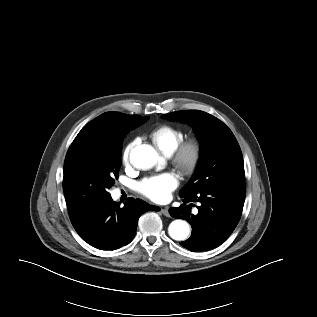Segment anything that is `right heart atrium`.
<instances>
[{"label": "right heart atrium", "mask_w": 317, "mask_h": 317, "mask_svg": "<svg viewBox=\"0 0 317 317\" xmlns=\"http://www.w3.org/2000/svg\"><path fill=\"white\" fill-rule=\"evenodd\" d=\"M135 145V141H131L130 143L127 144V146L124 148L122 155H121V160L123 165L127 166L129 164V160H130V153L132 148Z\"/></svg>", "instance_id": "obj_1"}]
</instances>
